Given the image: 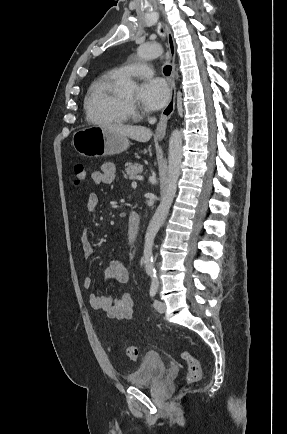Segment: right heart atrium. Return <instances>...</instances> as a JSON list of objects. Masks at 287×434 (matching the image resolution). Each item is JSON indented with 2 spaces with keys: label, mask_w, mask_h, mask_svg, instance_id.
<instances>
[{
  "label": "right heart atrium",
  "mask_w": 287,
  "mask_h": 434,
  "mask_svg": "<svg viewBox=\"0 0 287 434\" xmlns=\"http://www.w3.org/2000/svg\"><path fill=\"white\" fill-rule=\"evenodd\" d=\"M129 109H130V111L133 112V113H136V112H137V107H136V105H134V104H130V105H129Z\"/></svg>",
  "instance_id": "1"
}]
</instances>
